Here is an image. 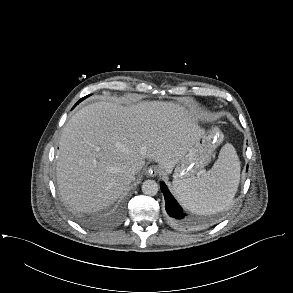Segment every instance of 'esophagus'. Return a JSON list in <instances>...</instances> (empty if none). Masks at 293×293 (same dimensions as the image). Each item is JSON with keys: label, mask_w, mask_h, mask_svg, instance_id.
<instances>
[{"label": "esophagus", "mask_w": 293, "mask_h": 293, "mask_svg": "<svg viewBox=\"0 0 293 293\" xmlns=\"http://www.w3.org/2000/svg\"><path fill=\"white\" fill-rule=\"evenodd\" d=\"M159 172H160V168L155 165L151 166L147 171L148 175H150L151 177L157 176Z\"/></svg>", "instance_id": "34e87169"}]
</instances>
